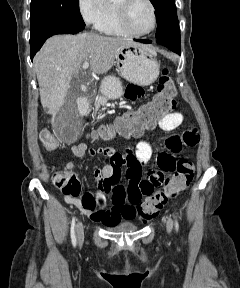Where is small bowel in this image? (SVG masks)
Masks as SVG:
<instances>
[{
    "label": "small bowel",
    "mask_w": 240,
    "mask_h": 288,
    "mask_svg": "<svg viewBox=\"0 0 240 288\" xmlns=\"http://www.w3.org/2000/svg\"><path fill=\"white\" fill-rule=\"evenodd\" d=\"M144 91L138 85H128L124 96L134 101L143 96ZM184 121L181 112H172L165 115L158 126L161 130L170 132L179 128ZM143 130H138L127 135L138 137ZM105 137L108 134L102 132ZM200 135L195 128L183 131L181 134H173L166 138L165 145L167 152L160 153L157 158L158 167L142 176L144 166L152 156V148L149 143L141 141L137 144L135 151H128L121 154L112 147H101L97 151L88 147L86 143H79L71 147V152L76 157H83L85 154L94 156L96 153L110 159L109 163L101 169L94 171L97 181V196L87 193L82 198L66 195L68 203L76 206L86 216L95 222L104 225H115L121 220H131L136 217L135 208L129 203L128 196L135 191L141 198L152 194L154 187L164 182L167 173L172 172L176 165V154L180 153L183 146H195ZM76 164L69 161L65 164V171L75 175ZM126 168L128 179L127 187L119 184L121 169ZM110 198L111 205L107 206L106 199Z\"/></svg>",
    "instance_id": "small-bowel-1"
}]
</instances>
